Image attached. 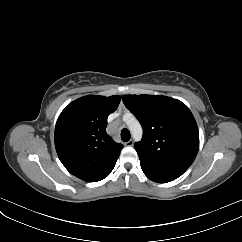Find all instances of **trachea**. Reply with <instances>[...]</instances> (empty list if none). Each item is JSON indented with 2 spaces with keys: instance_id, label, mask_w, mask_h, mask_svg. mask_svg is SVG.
<instances>
[{
  "instance_id": "trachea-1",
  "label": "trachea",
  "mask_w": 242,
  "mask_h": 242,
  "mask_svg": "<svg viewBox=\"0 0 242 242\" xmlns=\"http://www.w3.org/2000/svg\"><path fill=\"white\" fill-rule=\"evenodd\" d=\"M130 137H131V135H130L129 130L126 129V128H124V129L121 131V139H122V141L127 142V141L130 140Z\"/></svg>"
}]
</instances>
